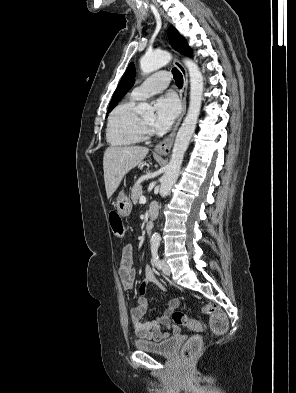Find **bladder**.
I'll use <instances>...</instances> for the list:
<instances>
[{
    "mask_svg": "<svg viewBox=\"0 0 296 393\" xmlns=\"http://www.w3.org/2000/svg\"><path fill=\"white\" fill-rule=\"evenodd\" d=\"M136 349L162 356H170L177 346L174 336H167L159 340L139 339L135 341Z\"/></svg>",
    "mask_w": 296,
    "mask_h": 393,
    "instance_id": "bladder-1",
    "label": "bladder"
}]
</instances>
